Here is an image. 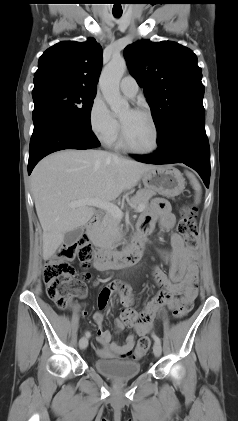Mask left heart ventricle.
Returning <instances> with one entry per match:
<instances>
[{
    "instance_id": "obj_1",
    "label": "left heart ventricle",
    "mask_w": 238,
    "mask_h": 421,
    "mask_svg": "<svg viewBox=\"0 0 238 421\" xmlns=\"http://www.w3.org/2000/svg\"><path fill=\"white\" fill-rule=\"evenodd\" d=\"M129 143L140 150L150 149L154 144V130L150 120L140 113L126 109L120 116Z\"/></svg>"
}]
</instances>
